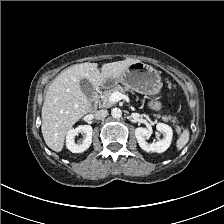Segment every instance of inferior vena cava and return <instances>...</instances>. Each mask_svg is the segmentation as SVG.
<instances>
[{"label": "inferior vena cava", "instance_id": "1", "mask_svg": "<svg viewBox=\"0 0 224 224\" xmlns=\"http://www.w3.org/2000/svg\"><path fill=\"white\" fill-rule=\"evenodd\" d=\"M108 115V111L106 109H101L95 112L94 116L97 120H101Z\"/></svg>", "mask_w": 224, "mask_h": 224}]
</instances>
